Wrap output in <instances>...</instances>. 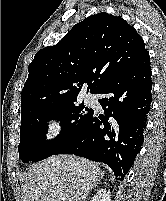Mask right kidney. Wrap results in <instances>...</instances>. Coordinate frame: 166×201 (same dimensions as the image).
Masks as SVG:
<instances>
[{
  "mask_svg": "<svg viewBox=\"0 0 166 201\" xmlns=\"http://www.w3.org/2000/svg\"><path fill=\"white\" fill-rule=\"evenodd\" d=\"M110 196L109 190L101 189L92 197L91 201H111Z\"/></svg>",
  "mask_w": 166,
  "mask_h": 201,
  "instance_id": "1",
  "label": "right kidney"
}]
</instances>
